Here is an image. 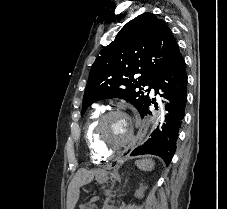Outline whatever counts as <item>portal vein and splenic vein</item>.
Masks as SVG:
<instances>
[{"mask_svg":"<svg viewBox=\"0 0 227 209\" xmlns=\"http://www.w3.org/2000/svg\"><path fill=\"white\" fill-rule=\"evenodd\" d=\"M96 199H97V198L94 196L91 200H92V201H93V200L95 201Z\"/></svg>","mask_w":227,"mask_h":209,"instance_id":"18ae733b","label":"portal vein and splenic vein"}]
</instances>
